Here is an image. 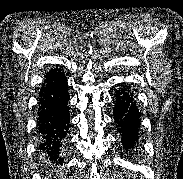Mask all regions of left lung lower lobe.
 I'll return each instance as SVG.
<instances>
[{"label":"left lung lower lobe","instance_id":"left-lung-lower-lobe-1","mask_svg":"<svg viewBox=\"0 0 183 179\" xmlns=\"http://www.w3.org/2000/svg\"><path fill=\"white\" fill-rule=\"evenodd\" d=\"M113 116L116 127L122 136V145L126 150L133 149L138 140L140 125L139 110L129 88H122L115 94Z\"/></svg>","mask_w":183,"mask_h":179}]
</instances>
